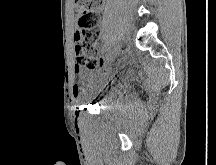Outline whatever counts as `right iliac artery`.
Listing matches in <instances>:
<instances>
[{"label":"right iliac artery","mask_w":216,"mask_h":165,"mask_svg":"<svg viewBox=\"0 0 216 165\" xmlns=\"http://www.w3.org/2000/svg\"><path fill=\"white\" fill-rule=\"evenodd\" d=\"M116 44H117V41L116 40H113L112 42H111V49H110V53L112 54L114 51V49H115V47H116Z\"/></svg>","instance_id":"obj_1"}]
</instances>
